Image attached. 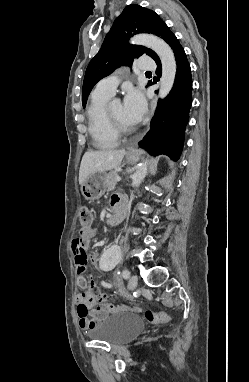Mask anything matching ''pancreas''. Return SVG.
Masks as SVG:
<instances>
[{
    "mask_svg": "<svg viewBox=\"0 0 249 382\" xmlns=\"http://www.w3.org/2000/svg\"><path fill=\"white\" fill-rule=\"evenodd\" d=\"M118 176V173L117 171H111L108 173V175L106 176V179L104 181V185L105 187L108 189V190H112L115 188L116 186V183L117 181L115 180V178Z\"/></svg>",
    "mask_w": 249,
    "mask_h": 382,
    "instance_id": "pancreas-1",
    "label": "pancreas"
}]
</instances>
